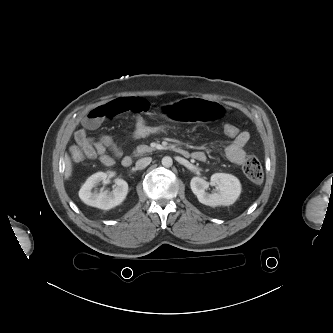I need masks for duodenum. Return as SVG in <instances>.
<instances>
[{
	"mask_svg": "<svg viewBox=\"0 0 333 333\" xmlns=\"http://www.w3.org/2000/svg\"><path fill=\"white\" fill-rule=\"evenodd\" d=\"M175 150L179 153H181L182 155H187V152L184 151L183 149L180 148H175ZM132 164V159L129 156H126L122 159V165L124 167H129Z\"/></svg>",
	"mask_w": 333,
	"mask_h": 333,
	"instance_id": "1",
	"label": "duodenum"
}]
</instances>
